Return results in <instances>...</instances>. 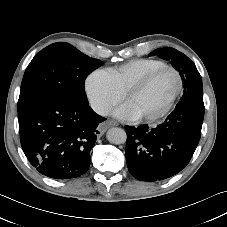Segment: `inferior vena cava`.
<instances>
[{
    "mask_svg": "<svg viewBox=\"0 0 227 227\" xmlns=\"http://www.w3.org/2000/svg\"><path fill=\"white\" fill-rule=\"evenodd\" d=\"M90 106L97 114L102 116H107L110 112L109 105L100 100H92Z\"/></svg>",
    "mask_w": 227,
    "mask_h": 227,
    "instance_id": "1",
    "label": "inferior vena cava"
}]
</instances>
